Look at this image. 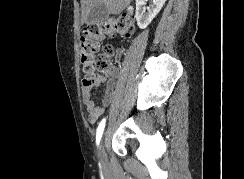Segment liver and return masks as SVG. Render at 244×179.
<instances>
[{
	"label": "liver",
	"mask_w": 244,
	"mask_h": 179,
	"mask_svg": "<svg viewBox=\"0 0 244 179\" xmlns=\"http://www.w3.org/2000/svg\"><path fill=\"white\" fill-rule=\"evenodd\" d=\"M80 2L82 6L81 20L86 22L92 8L97 4H104L109 14H121L132 0H80Z\"/></svg>",
	"instance_id": "liver-1"
}]
</instances>
